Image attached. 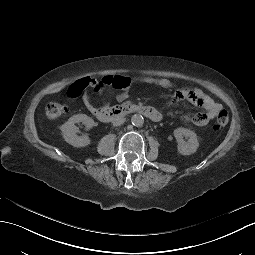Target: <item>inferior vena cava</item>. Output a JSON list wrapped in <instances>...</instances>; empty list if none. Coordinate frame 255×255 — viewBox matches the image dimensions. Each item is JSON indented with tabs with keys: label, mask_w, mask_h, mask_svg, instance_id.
Returning a JSON list of instances; mask_svg holds the SVG:
<instances>
[{
	"label": "inferior vena cava",
	"mask_w": 255,
	"mask_h": 255,
	"mask_svg": "<svg viewBox=\"0 0 255 255\" xmlns=\"http://www.w3.org/2000/svg\"><path fill=\"white\" fill-rule=\"evenodd\" d=\"M125 122V118H117L112 123L113 126H120Z\"/></svg>",
	"instance_id": "obj_1"
}]
</instances>
